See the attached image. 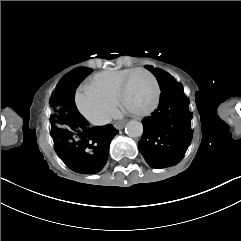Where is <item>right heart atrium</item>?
<instances>
[{
    "label": "right heart atrium",
    "instance_id": "d8ad5b80",
    "mask_svg": "<svg viewBox=\"0 0 241 241\" xmlns=\"http://www.w3.org/2000/svg\"><path fill=\"white\" fill-rule=\"evenodd\" d=\"M111 96L93 84L77 88L74 101L77 109L94 124H106L115 114V105L110 102Z\"/></svg>",
    "mask_w": 241,
    "mask_h": 241
}]
</instances>
